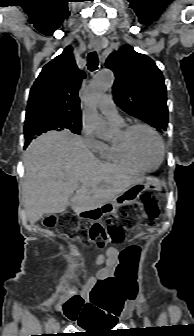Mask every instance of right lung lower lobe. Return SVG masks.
I'll return each mask as SVG.
<instances>
[{"mask_svg":"<svg viewBox=\"0 0 194 336\" xmlns=\"http://www.w3.org/2000/svg\"><path fill=\"white\" fill-rule=\"evenodd\" d=\"M29 143H25L24 149L28 146Z\"/></svg>","mask_w":194,"mask_h":336,"instance_id":"98d812e1","label":"right lung lower lobe"}]
</instances>
